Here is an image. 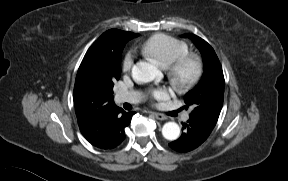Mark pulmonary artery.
Listing matches in <instances>:
<instances>
[{"label":"pulmonary artery","mask_w":288,"mask_h":181,"mask_svg":"<svg viewBox=\"0 0 288 181\" xmlns=\"http://www.w3.org/2000/svg\"><path fill=\"white\" fill-rule=\"evenodd\" d=\"M116 102L118 103H136L139 102L141 96L138 92L134 91H118L115 95ZM189 115L184 116V120H188Z\"/></svg>","instance_id":"pulmonary-artery-1"}]
</instances>
